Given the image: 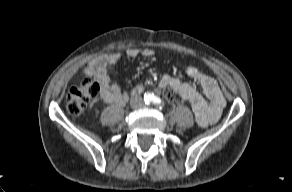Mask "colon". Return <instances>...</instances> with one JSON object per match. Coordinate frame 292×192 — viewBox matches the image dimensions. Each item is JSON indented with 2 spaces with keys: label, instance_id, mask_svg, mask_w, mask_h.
Masks as SVG:
<instances>
[{
  "label": "colon",
  "instance_id": "obj_1",
  "mask_svg": "<svg viewBox=\"0 0 292 192\" xmlns=\"http://www.w3.org/2000/svg\"><path fill=\"white\" fill-rule=\"evenodd\" d=\"M101 93V83L99 80L88 77L80 86L69 90L66 97L67 111L74 116L81 114L88 106L91 99L97 98ZM167 100L173 105H179L183 99L175 92H165Z\"/></svg>",
  "mask_w": 292,
  "mask_h": 192
}]
</instances>
